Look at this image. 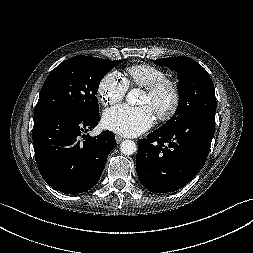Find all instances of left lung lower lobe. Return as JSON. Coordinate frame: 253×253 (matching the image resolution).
Instances as JSON below:
<instances>
[{
	"instance_id": "obj_1",
	"label": "left lung lower lobe",
	"mask_w": 253,
	"mask_h": 253,
	"mask_svg": "<svg viewBox=\"0 0 253 253\" xmlns=\"http://www.w3.org/2000/svg\"><path fill=\"white\" fill-rule=\"evenodd\" d=\"M215 130V115L199 114L171 130L139 140L136 169L148 190L168 193L187 185L202 169Z\"/></svg>"
}]
</instances>
